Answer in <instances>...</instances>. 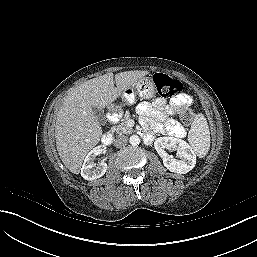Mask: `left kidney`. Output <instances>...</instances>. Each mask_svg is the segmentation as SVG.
Returning a JSON list of instances; mask_svg holds the SVG:
<instances>
[{"instance_id": "obj_1", "label": "left kidney", "mask_w": 257, "mask_h": 257, "mask_svg": "<svg viewBox=\"0 0 257 257\" xmlns=\"http://www.w3.org/2000/svg\"><path fill=\"white\" fill-rule=\"evenodd\" d=\"M154 147L163 159L164 166L171 172L185 174L195 167L196 155L184 140L175 137H159L155 140ZM165 149L177 150L180 160L168 155Z\"/></svg>"}]
</instances>
